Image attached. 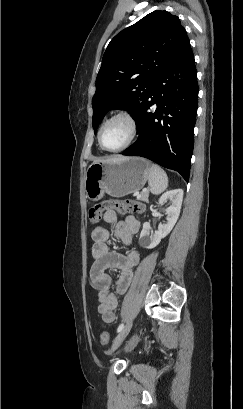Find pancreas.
Returning a JSON list of instances; mask_svg holds the SVG:
<instances>
[{
	"label": "pancreas",
	"instance_id": "cf45deb5",
	"mask_svg": "<svg viewBox=\"0 0 243 409\" xmlns=\"http://www.w3.org/2000/svg\"><path fill=\"white\" fill-rule=\"evenodd\" d=\"M148 196H149L148 192H143L138 197V199L141 200V201L147 202L148 201Z\"/></svg>",
	"mask_w": 243,
	"mask_h": 409
}]
</instances>
